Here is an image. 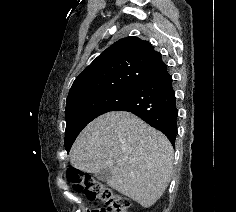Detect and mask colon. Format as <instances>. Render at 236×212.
I'll return each mask as SVG.
<instances>
[{
    "mask_svg": "<svg viewBox=\"0 0 236 212\" xmlns=\"http://www.w3.org/2000/svg\"><path fill=\"white\" fill-rule=\"evenodd\" d=\"M67 179L76 192L84 193L89 199L99 200L105 205L104 208L94 209L92 212H129L128 199L114 193L90 174L70 168Z\"/></svg>",
    "mask_w": 236,
    "mask_h": 212,
    "instance_id": "colon-1",
    "label": "colon"
}]
</instances>
